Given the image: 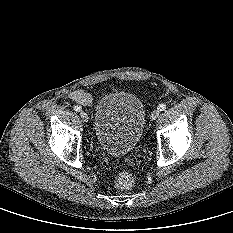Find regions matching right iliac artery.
Segmentation results:
<instances>
[{
    "mask_svg": "<svg viewBox=\"0 0 233 233\" xmlns=\"http://www.w3.org/2000/svg\"><path fill=\"white\" fill-rule=\"evenodd\" d=\"M74 110H75L76 112H79V111H81V107L78 106V105H76V106H74Z\"/></svg>",
    "mask_w": 233,
    "mask_h": 233,
    "instance_id": "82829eb1",
    "label": "right iliac artery"
}]
</instances>
